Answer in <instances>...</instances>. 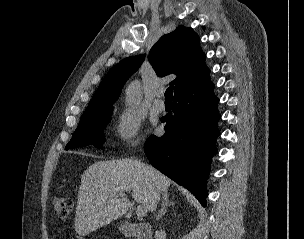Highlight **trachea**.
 Returning <instances> with one entry per match:
<instances>
[{"label": "trachea", "mask_w": 304, "mask_h": 239, "mask_svg": "<svg viewBox=\"0 0 304 239\" xmlns=\"http://www.w3.org/2000/svg\"><path fill=\"white\" fill-rule=\"evenodd\" d=\"M173 97V86L167 88L165 92V100H172Z\"/></svg>", "instance_id": "3493384b"}]
</instances>
